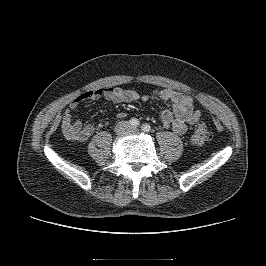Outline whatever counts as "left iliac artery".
I'll return each mask as SVG.
<instances>
[{
    "mask_svg": "<svg viewBox=\"0 0 266 266\" xmlns=\"http://www.w3.org/2000/svg\"><path fill=\"white\" fill-rule=\"evenodd\" d=\"M151 130V126L149 124H145L142 126V131L149 132Z\"/></svg>",
    "mask_w": 266,
    "mask_h": 266,
    "instance_id": "44dca946",
    "label": "left iliac artery"
}]
</instances>
